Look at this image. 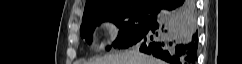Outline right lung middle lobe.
Returning a JSON list of instances; mask_svg holds the SVG:
<instances>
[{
    "label": "right lung middle lobe",
    "instance_id": "right-lung-middle-lobe-1",
    "mask_svg": "<svg viewBox=\"0 0 242 64\" xmlns=\"http://www.w3.org/2000/svg\"><path fill=\"white\" fill-rule=\"evenodd\" d=\"M157 19V9L137 7L128 10L101 13L83 18L80 28L82 38L87 43L92 41V32L96 25L104 21L113 22L118 28L117 39L113 42L114 48H127L137 37L142 35ZM110 50V47H107Z\"/></svg>",
    "mask_w": 242,
    "mask_h": 64
}]
</instances>
